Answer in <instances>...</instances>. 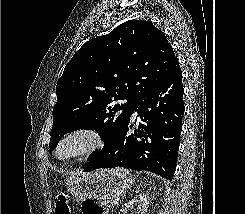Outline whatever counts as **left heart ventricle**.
<instances>
[{
	"mask_svg": "<svg viewBox=\"0 0 245 214\" xmlns=\"http://www.w3.org/2000/svg\"><path fill=\"white\" fill-rule=\"evenodd\" d=\"M86 143H87L86 139L81 137H75L62 146L60 150V154L62 156L73 154L79 151L81 148H83Z\"/></svg>",
	"mask_w": 245,
	"mask_h": 214,
	"instance_id": "1",
	"label": "left heart ventricle"
}]
</instances>
